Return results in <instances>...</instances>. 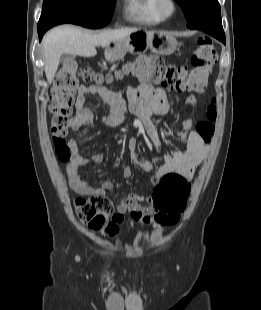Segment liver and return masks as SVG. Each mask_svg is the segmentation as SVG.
<instances>
[{"mask_svg":"<svg viewBox=\"0 0 261 310\" xmlns=\"http://www.w3.org/2000/svg\"><path fill=\"white\" fill-rule=\"evenodd\" d=\"M137 28H123L92 34L75 26H60L51 29L43 39L44 69L48 83L57 72L62 54L92 57L97 54L96 46L107 47L112 41H121Z\"/></svg>","mask_w":261,"mask_h":310,"instance_id":"obj_1","label":"liver"}]
</instances>
